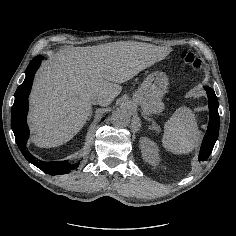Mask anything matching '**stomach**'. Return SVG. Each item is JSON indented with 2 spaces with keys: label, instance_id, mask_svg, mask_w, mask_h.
Returning <instances> with one entry per match:
<instances>
[{
  "label": "stomach",
  "instance_id": "obj_1",
  "mask_svg": "<svg viewBox=\"0 0 236 236\" xmlns=\"http://www.w3.org/2000/svg\"><path fill=\"white\" fill-rule=\"evenodd\" d=\"M167 86L166 74L154 72L143 81L141 88L134 94L133 101L141 106L145 114L159 113L163 110L162 97Z\"/></svg>",
  "mask_w": 236,
  "mask_h": 236
}]
</instances>
